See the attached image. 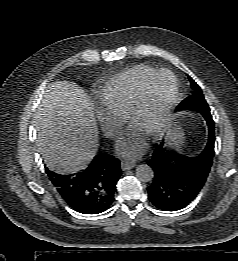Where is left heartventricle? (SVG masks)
<instances>
[{
    "label": "left heart ventricle",
    "mask_w": 238,
    "mask_h": 261,
    "mask_svg": "<svg viewBox=\"0 0 238 261\" xmlns=\"http://www.w3.org/2000/svg\"><path fill=\"white\" fill-rule=\"evenodd\" d=\"M173 86V78L169 74H161L154 78L147 88L144 109L135 117L132 126L148 133L160 117Z\"/></svg>",
    "instance_id": "left-heart-ventricle-1"
}]
</instances>
